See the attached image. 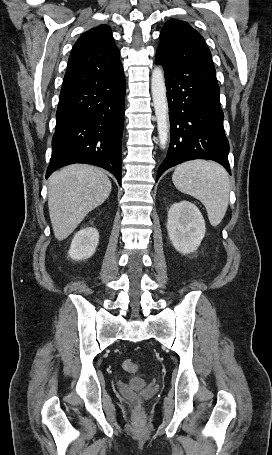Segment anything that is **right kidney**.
<instances>
[{
  "mask_svg": "<svg viewBox=\"0 0 272 455\" xmlns=\"http://www.w3.org/2000/svg\"><path fill=\"white\" fill-rule=\"evenodd\" d=\"M98 242L99 233L96 228H83L72 239L68 254L73 260L88 259L95 253Z\"/></svg>",
  "mask_w": 272,
  "mask_h": 455,
  "instance_id": "ca27d5eb",
  "label": "right kidney"
}]
</instances>
